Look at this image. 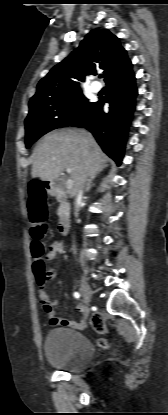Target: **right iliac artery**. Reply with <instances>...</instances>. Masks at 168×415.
Instances as JSON below:
<instances>
[{"mask_svg": "<svg viewBox=\"0 0 168 415\" xmlns=\"http://www.w3.org/2000/svg\"><path fill=\"white\" fill-rule=\"evenodd\" d=\"M80 296H81V295H80V293H78V292H74V297H75V298H80Z\"/></svg>", "mask_w": 168, "mask_h": 415, "instance_id": "right-iliac-artery-1", "label": "right iliac artery"}]
</instances>
